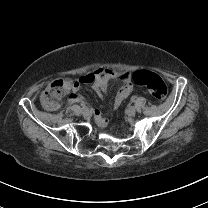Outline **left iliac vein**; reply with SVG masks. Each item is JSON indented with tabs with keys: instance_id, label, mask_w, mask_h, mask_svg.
I'll use <instances>...</instances> for the list:
<instances>
[{
	"instance_id": "1",
	"label": "left iliac vein",
	"mask_w": 208,
	"mask_h": 208,
	"mask_svg": "<svg viewBox=\"0 0 208 208\" xmlns=\"http://www.w3.org/2000/svg\"><path fill=\"white\" fill-rule=\"evenodd\" d=\"M126 111L129 116H133L136 113V108L134 106H129Z\"/></svg>"
}]
</instances>
